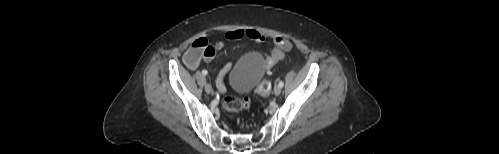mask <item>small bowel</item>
<instances>
[{
  "label": "small bowel",
  "instance_id": "obj_1",
  "mask_svg": "<svg viewBox=\"0 0 499 154\" xmlns=\"http://www.w3.org/2000/svg\"><path fill=\"white\" fill-rule=\"evenodd\" d=\"M244 37L249 38L251 40H254L256 42H261L264 40V36L256 30L237 29V30L228 31L224 35L223 39H221L215 43L214 48L217 51L222 50L224 48L226 41L239 40V39L244 38ZM197 65H198V63L195 65H192L190 67L194 69L197 67ZM232 65H233L232 63H227L226 65L223 66V68L220 70V72L218 74L217 86L221 92H226V87L224 85L223 79H224L225 75L229 72V70L232 68Z\"/></svg>",
  "mask_w": 499,
  "mask_h": 154
}]
</instances>
